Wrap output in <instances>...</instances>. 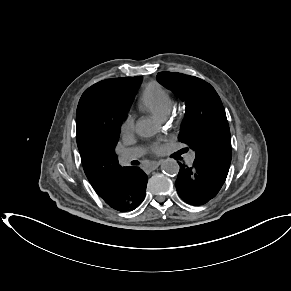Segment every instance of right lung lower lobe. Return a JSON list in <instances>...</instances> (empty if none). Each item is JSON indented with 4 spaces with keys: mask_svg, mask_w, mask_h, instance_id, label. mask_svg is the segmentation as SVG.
<instances>
[{
    "mask_svg": "<svg viewBox=\"0 0 291 291\" xmlns=\"http://www.w3.org/2000/svg\"><path fill=\"white\" fill-rule=\"evenodd\" d=\"M120 188L106 203L114 210L127 212L136 209L144 200L148 177L138 167H125L119 174Z\"/></svg>",
    "mask_w": 291,
    "mask_h": 291,
    "instance_id": "98d812e1",
    "label": "right lung lower lobe"
}]
</instances>
